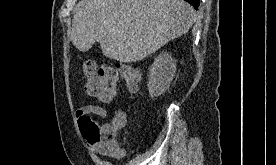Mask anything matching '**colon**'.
<instances>
[{"label":"colon","instance_id":"obj_1","mask_svg":"<svg viewBox=\"0 0 276 165\" xmlns=\"http://www.w3.org/2000/svg\"><path fill=\"white\" fill-rule=\"evenodd\" d=\"M83 77L87 94L102 102H110L115 98L120 78L125 81L127 88L131 91H136L140 82L139 71L128 64L99 67L90 60L83 65ZM124 123L125 116L118 115L114 121V128L120 127ZM79 125L90 146L102 144L115 153L120 150L114 129L100 126L90 116H83L79 120Z\"/></svg>","mask_w":276,"mask_h":165}]
</instances>
